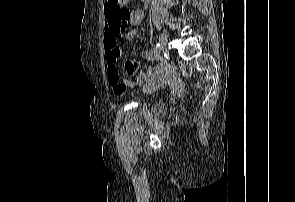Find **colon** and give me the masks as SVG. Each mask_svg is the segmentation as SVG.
<instances>
[{
    "instance_id": "5ec220e1",
    "label": "colon",
    "mask_w": 295,
    "mask_h": 202,
    "mask_svg": "<svg viewBox=\"0 0 295 202\" xmlns=\"http://www.w3.org/2000/svg\"><path fill=\"white\" fill-rule=\"evenodd\" d=\"M128 2L129 0H106L105 3L106 14L121 20L123 28L126 27L129 19V10L126 9Z\"/></svg>"
}]
</instances>
